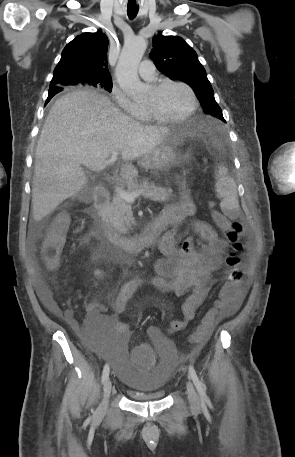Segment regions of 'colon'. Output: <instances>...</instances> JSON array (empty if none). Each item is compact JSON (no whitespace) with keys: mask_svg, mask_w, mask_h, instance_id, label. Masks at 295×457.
<instances>
[{"mask_svg":"<svg viewBox=\"0 0 295 457\" xmlns=\"http://www.w3.org/2000/svg\"><path fill=\"white\" fill-rule=\"evenodd\" d=\"M211 216L214 223L224 232L232 246V251L226 258V268L224 271L226 283L220 291V299L216 303L215 308L203 318L198 330L194 333L192 340L195 343H202L208 337L219 310L230 309L238 300L244 277V266L240 257V253L244 248L242 242V224L229 220L216 210L212 211ZM68 222L69 220L66 215L58 216L42 241L41 255L46 266L51 270L59 267ZM154 356L153 346H133L132 360H134V372H152Z\"/></svg>","mask_w":295,"mask_h":457,"instance_id":"colon-1","label":"colon"}]
</instances>
